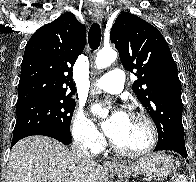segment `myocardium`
Masks as SVG:
<instances>
[{
  "instance_id": "myocardium-1",
  "label": "myocardium",
  "mask_w": 196,
  "mask_h": 182,
  "mask_svg": "<svg viewBox=\"0 0 196 182\" xmlns=\"http://www.w3.org/2000/svg\"><path fill=\"white\" fill-rule=\"evenodd\" d=\"M130 117H134L142 120L149 131V142L148 144L140 150H128L119 146L114 140L111 141L112 148L119 154L128 156V157H140L148 154L156 145L158 139V132L154 122L146 114L141 112H131L129 113Z\"/></svg>"
}]
</instances>
